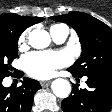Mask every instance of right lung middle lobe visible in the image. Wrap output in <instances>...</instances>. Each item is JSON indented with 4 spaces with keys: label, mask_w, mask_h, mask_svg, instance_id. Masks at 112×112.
<instances>
[{
    "label": "right lung middle lobe",
    "mask_w": 112,
    "mask_h": 112,
    "mask_svg": "<svg viewBox=\"0 0 112 112\" xmlns=\"http://www.w3.org/2000/svg\"><path fill=\"white\" fill-rule=\"evenodd\" d=\"M23 30L0 32V78L10 75L11 62L18 53V39Z\"/></svg>",
    "instance_id": "right-lung-middle-lobe-1"
}]
</instances>
